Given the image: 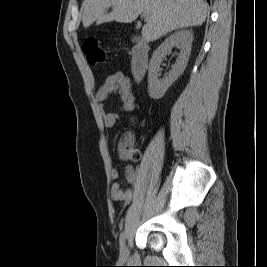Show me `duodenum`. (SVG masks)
I'll return each instance as SVG.
<instances>
[{
  "mask_svg": "<svg viewBox=\"0 0 267 267\" xmlns=\"http://www.w3.org/2000/svg\"><path fill=\"white\" fill-rule=\"evenodd\" d=\"M149 46L138 39L131 52V72L136 80H141L148 68Z\"/></svg>",
  "mask_w": 267,
  "mask_h": 267,
  "instance_id": "1",
  "label": "duodenum"
}]
</instances>
